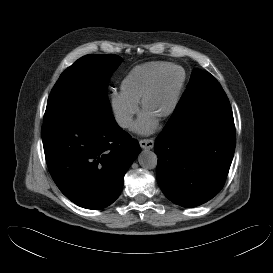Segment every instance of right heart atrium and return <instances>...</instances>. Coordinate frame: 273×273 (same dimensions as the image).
<instances>
[{"label":"right heart atrium","mask_w":273,"mask_h":273,"mask_svg":"<svg viewBox=\"0 0 273 273\" xmlns=\"http://www.w3.org/2000/svg\"><path fill=\"white\" fill-rule=\"evenodd\" d=\"M111 107L115 120L121 127H128L137 111L136 104L130 102L122 94L112 95Z\"/></svg>","instance_id":"right-heart-atrium-1"}]
</instances>
